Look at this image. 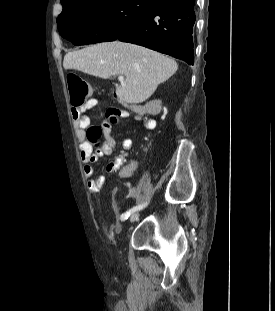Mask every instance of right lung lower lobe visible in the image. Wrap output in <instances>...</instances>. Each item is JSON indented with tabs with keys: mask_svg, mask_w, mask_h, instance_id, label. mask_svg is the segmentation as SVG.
Listing matches in <instances>:
<instances>
[{
	"mask_svg": "<svg viewBox=\"0 0 275 311\" xmlns=\"http://www.w3.org/2000/svg\"><path fill=\"white\" fill-rule=\"evenodd\" d=\"M195 20L194 0H159L116 39L142 45L193 65Z\"/></svg>",
	"mask_w": 275,
	"mask_h": 311,
	"instance_id": "obj_1",
	"label": "right lung lower lobe"
}]
</instances>
